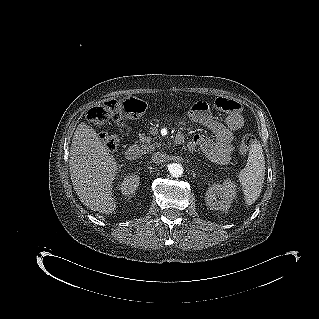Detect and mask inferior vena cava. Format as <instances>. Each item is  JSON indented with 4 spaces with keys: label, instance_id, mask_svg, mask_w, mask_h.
Here are the masks:
<instances>
[{
    "label": "inferior vena cava",
    "instance_id": "obj_1",
    "mask_svg": "<svg viewBox=\"0 0 319 319\" xmlns=\"http://www.w3.org/2000/svg\"><path fill=\"white\" fill-rule=\"evenodd\" d=\"M168 160V155L164 152H155L152 155V162L159 165L162 163L167 162Z\"/></svg>",
    "mask_w": 319,
    "mask_h": 319
}]
</instances>
